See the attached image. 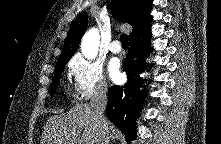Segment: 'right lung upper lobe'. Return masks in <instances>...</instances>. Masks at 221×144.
<instances>
[{
	"mask_svg": "<svg viewBox=\"0 0 221 144\" xmlns=\"http://www.w3.org/2000/svg\"><path fill=\"white\" fill-rule=\"evenodd\" d=\"M151 0H112V14L121 22L129 23L133 30L129 38L145 31L151 26ZM88 26L86 12L77 16L65 40L58 64L67 63L79 46L81 37Z\"/></svg>",
	"mask_w": 221,
	"mask_h": 144,
	"instance_id": "obj_1",
	"label": "right lung upper lobe"
}]
</instances>
